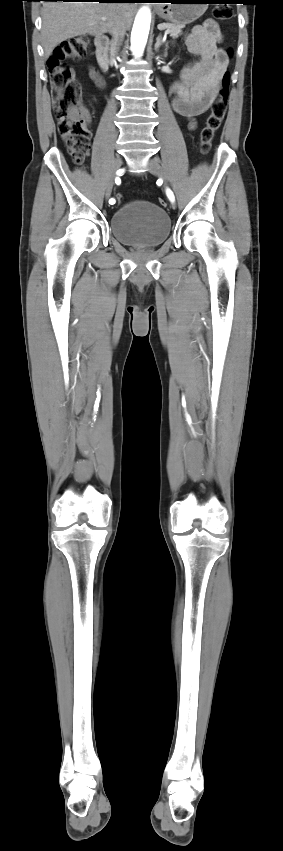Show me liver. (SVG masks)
Returning <instances> with one entry per match:
<instances>
[{
	"label": "liver",
	"instance_id": "liver-1",
	"mask_svg": "<svg viewBox=\"0 0 283 851\" xmlns=\"http://www.w3.org/2000/svg\"><path fill=\"white\" fill-rule=\"evenodd\" d=\"M136 5L129 2H56L43 4L41 38L48 58L61 42L80 35L111 33L117 25L131 27ZM105 17L106 20H101Z\"/></svg>",
	"mask_w": 283,
	"mask_h": 851
}]
</instances>
